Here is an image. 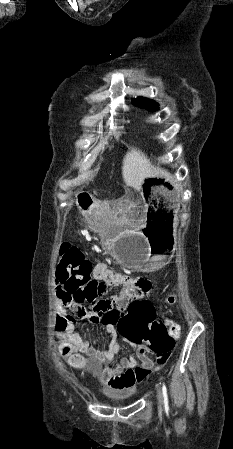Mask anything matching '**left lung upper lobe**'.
Returning <instances> with one entry per match:
<instances>
[{
    "mask_svg": "<svg viewBox=\"0 0 233 449\" xmlns=\"http://www.w3.org/2000/svg\"><path fill=\"white\" fill-rule=\"evenodd\" d=\"M133 102L135 105H137L141 108H145L149 111H155L158 109V104L148 98L138 97V98L134 99Z\"/></svg>",
    "mask_w": 233,
    "mask_h": 449,
    "instance_id": "5c2ea615",
    "label": "left lung upper lobe"
}]
</instances>
